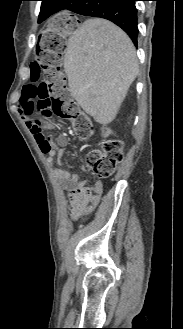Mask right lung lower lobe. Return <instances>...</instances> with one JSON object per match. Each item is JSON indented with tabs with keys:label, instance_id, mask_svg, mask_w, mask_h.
Wrapping results in <instances>:
<instances>
[{
	"label": "right lung lower lobe",
	"instance_id": "1",
	"mask_svg": "<svg viewBox=\"0 0 183 329\" xmlns=\"http://www.w3.org/2000/svg\"><path fill=\"white\" fill-rule=\"evenodd\" d=\"M135 1L137 0H67L62 2L64 6L58 8V11L68 9L80 15L110 20L122 28L137 45L138 21Z\"/></svg>",
	"mask_w": 183,
	"mask_h": 329
}]
</instances>
